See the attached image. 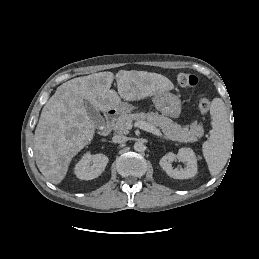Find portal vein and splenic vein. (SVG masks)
<instances>
[{
	"label": "portal vein and splenic vein",
	"mask_w": 259,
	"mask_h": 259,
	"mask_svg": "<svg viewBox=\"0 0 259 259\" xmlns=\"http://www.w3.org/2000/svg\"><path fill=\"white\" fill-rule=\"evenodd\" d=\"M135 127H138L142 130H145L147 132H150L158 137H163L162 133L160 132V130L158 128H156L155 126L145 122V121H138L134 124ZM128 127L131 128L132 125L128 124Z\"/></svg>",
	"instance_id": "1"
}]
</instances>
